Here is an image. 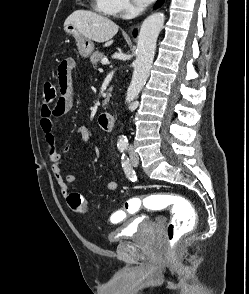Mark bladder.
Segmentation results:
<instances>
[{
	"label": "bladder",
	"instance_id": "obj_1",
	"mask_svg": "<svg viewBox=\"0 0 249 294\" xmlns=\"http://www.w3.org/2000/svg\"><path fill=\"white\" fill-rule=\"evenodd\" d=\"M158 221V218L150 215H143L129 219L125 226L108 236V243L115 244L129 238H141L147 235L150 228Z\"/></svg>",
	"mask_w": 249,
	"mask_h": 294
}]
</instances>
